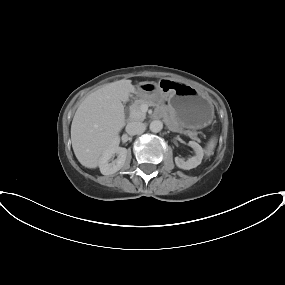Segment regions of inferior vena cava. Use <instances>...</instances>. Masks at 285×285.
<instances>
[{"label": "inferior vena cava", "mask_w": 285, "mask_h": 285, "mask_svg": "<svg viewBox=\"0 0 285 285\" xmlns=\"http://www.w3.org/2000/svg\"><path fill=\"white\" fill-rule=\"evenodd\" d=\"M145 128V124L142 122H130L126 126V132L129 135H137L143 133Z\"/></svg>", "instance_id": "1"}]
</instances>
